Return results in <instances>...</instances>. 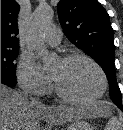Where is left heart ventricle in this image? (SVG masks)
I'll list each match as a JSON object with an SVG mask.
<instances>
[{"label":"left heart ventricle","instance_id":"b2bd125f","mask_svg":"<svg viewBox=\"0 0 123 130\" xmlns=\"http://www.w3.org/2000/svg\"><path fill=\"white\" fill-rule=\"evenodd\" d=\"M51 78L66 94L76 98H87L97 94L101 88L98 71L84 60H57L49 69Z\"/></svg>","mask_w":123,"mask_h":130}]
</instances>
